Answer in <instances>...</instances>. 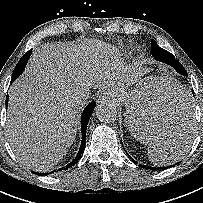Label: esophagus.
I'll return each mask as SVG.
<instances>
[{
    "instance_id": "obj_1",
    "label": "esophagus",
    "mask_w": 203,
    "mask_h": 203,
    "mask_svg": "<svg viewBox=\"0 0 203 203\" xmlns=\"http://www.w3.org/2000/svg\"><path fill=\"white\" fill-rule=\"evenodd\" d=\"M109 100H110V97L107 93H101L98 96V103H107L109 102Z\"/></svg>"
}]
</instances>
